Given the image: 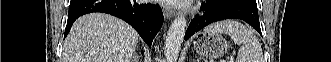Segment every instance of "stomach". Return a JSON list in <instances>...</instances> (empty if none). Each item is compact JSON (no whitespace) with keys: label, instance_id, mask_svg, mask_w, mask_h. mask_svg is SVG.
Wrapping results in <instances>:
<instances>
[{"label":"stomach","instance_id":"1","mask_svg":"<svg viewBox=\"0 0 331 62\" xmlns=\"http://www.w3.org/2000/svg\"><path fill=\"white\" fill-rule=\"evenodd\" d=\"M193 45L195 51L201 56L219 58L227 49V41L220 34L201 32L194 36Z\"/></svg>","mask_w":331,"mask_h":62}]
</instances>
